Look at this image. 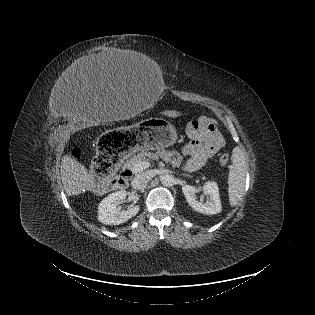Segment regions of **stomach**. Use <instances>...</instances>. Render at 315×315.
<instances>
[{"instance_id":"1","label":"stomach","mask_w":315,"mask_h":315,"mask_svg":"<svg viewBox=\"0 0 315 315\" xmlns=\"http://www.w3.org/2000/svg\"><path fill=\"white\" fill-rule=\"evenodd\" d=\"M178 139L172 123L163 118H149L133 125L127 131L116 130L108 138L110 149L116 153L127 151V156L137 151L163 149ZM130 147V148H129Z\"/></svg>"}]
</instances>
